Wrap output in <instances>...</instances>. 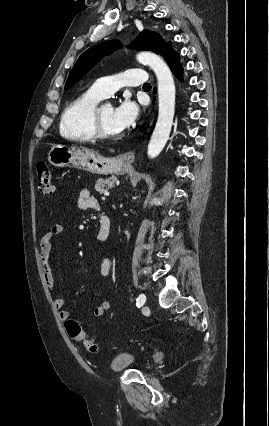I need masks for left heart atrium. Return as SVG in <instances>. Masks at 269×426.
<instances>
[{
  "mask_svg": "<svg viewBox=\"0 0 269 426\" xmlns=\"http://www.w3.org/2000/svg\"><path fill=\"white\" fill-rule=\"evenodd\" d=\"M139 115L138 106L130 100L123 101L113 111V121L120 131L132 125Z\"/></svg>",
  "mask_w": 269,
  "mask_h": 426,
  "instance_id": "left-heart-atrium-1",
  "label": "left heart atrium"
}]
</instances>
